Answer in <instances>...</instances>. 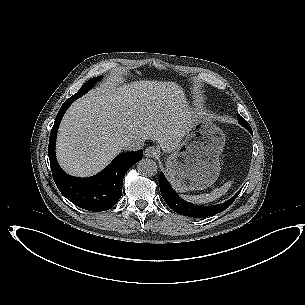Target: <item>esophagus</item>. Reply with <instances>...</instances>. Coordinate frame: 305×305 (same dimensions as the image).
I'll list each match as a JSON object with an SVG mask.
<instances>
[{
    "label": "esophagus",
    "instance_id": "obj_1",
    "mask_svg": "<svg viewBox=\"0 0 305 305\" xmlns=\"http://www.w3.org/2000/svg\"><path fill=\"white\" fill-rule=\"evenodd\" d=\"M144 155L148 158H155L159 155V150L154 146H150L145 149Z\"/></svg>",
    "mask_w": 305,
    "mask_h": 305
}]
</instances>
